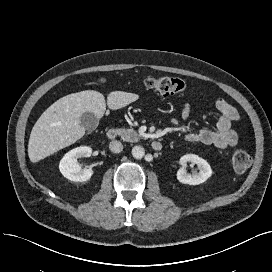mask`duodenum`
<instances>
[{
	"label": "duodenum",
	"instance_id": "410a0bca",
	"mask_svg": "<svg viewBox=\"0 0 272 272\" xmlns=\"http://www.w3.org/2000/svg\"><path fill=\"white\" fill-rule=\"evenodd\" d=\"M116 137H117V130L114 128L109 129L107 132V138L109 140H114V139H116ZM151 147L155 151H160L162 149V144L159 141H152Z\"/></svg>",
	"mask_w": 272,
	"mask_h": 272
}]
</instances>
